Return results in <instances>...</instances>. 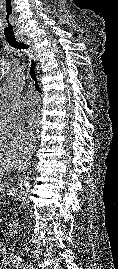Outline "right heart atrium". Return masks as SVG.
<instances>
[{
	"label": "right heart atrium",
	"instance_id": "obj_1",
	"mask_svg": "<svg viewBox=\"0 0 118 269\" xmlns=\"http://www.w3.org/2000/svg\"><path fill=\"white\" fill-rule=\"evenodd\" d=\"M0 134H4L15 143L23 141L28 135L22 117L0 114Z\"/></svg>",
	"mask_w": 118,
	"mask_h": 269
}]
</instances>
